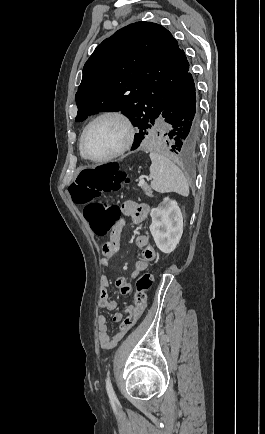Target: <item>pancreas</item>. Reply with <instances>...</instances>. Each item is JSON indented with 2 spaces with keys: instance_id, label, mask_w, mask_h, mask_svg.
<instances>
[{
  "instance_id": "pancreas-1",
  "label": "pancreas",
  "mask_w": 265,
  "mask_h": 434,
  "mask_svg": "<svg viewBox=\"0 0 265 434\" xmlns=\"http://www.w3.org/2000/svg\"><path fill=\"white\" fill-rule=\"evenodd\" d=\"M142 190H144L146 196H149V198H153L152 196V190L150 188V186H148V184H143V186H141Z\"/></svg>"
}]
</instances>
